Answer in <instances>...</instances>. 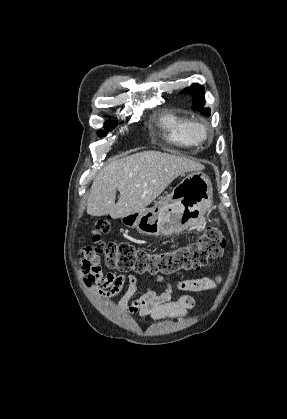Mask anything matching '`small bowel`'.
<instances>
[{"mask_svg": "<svg viewBox=\"0 0 287 419\" xmlns=\"http://www.w3.org/2000/svg\"><path fill=\"white\" fill-rule=\"evenodd\" d=\"M79 266L86 274L85 283L92 287V292L100 298L109 299L117 295L124 284L128 283V288L123 295L119 307L125 309L128 313L137 314L141 318L151 317L154 320L179 318L187 314L188 310L193 308L194 299L185 295L177 301H172L173 287L166 284V289L162 293H157L151 287L138 299L132 301L133 296L137 292L138 278L134 275L125 276L115 273H107L103 275L101 272L100 259L93 254L88 248L81 252L79 258ZM158 282H163L162 277H157ZM216 280L203 278H188L177 283V288L197 292L211 289L215 286Z\"/></svg>", "mask_w": 287, "mask_h": 419, "instance_id": "obj_1", "label": "small bowel"}]
</instances>
